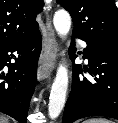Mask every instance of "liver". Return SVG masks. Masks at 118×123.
I'll return each mask as SVG.
<instances>
[{"instance_id":"liver-1","label":"liver","mask_w":118,"mask_h":123,"mask_svg":"<svg viewBox=\"0 0 118 123\" xmlns=\"http://www.w3.org/2000/svg\"><path fill=\"white\" fill-rule=\"evenodd\" d=\"M0 123H9V120L7 117L0 115Z\"/></svg>"}]
</instances>
